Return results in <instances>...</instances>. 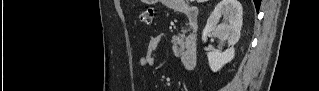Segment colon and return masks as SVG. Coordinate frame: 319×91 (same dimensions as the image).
Wrapping results in <instances>:
<instances>
[{"mask_svg":"<svg viewBox=\"0 0 319 91\" xmlns=\"http://www.w3.org/2000/svg\"><path fill=\"white\" fill-rule=\"evenodd\" d=\"M154 8L152 6L147 7L140 15L141 21L146 25L153 23Z\"/></svg>","mask_w":319,"mask_h":91,"instance_id":"5ec220e1","label":"colon"}]
</instances>
